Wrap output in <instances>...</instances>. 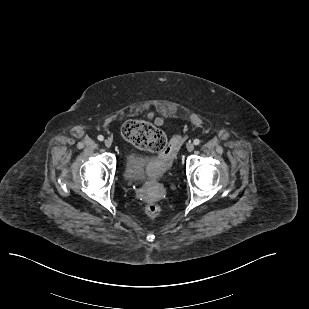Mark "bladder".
I'll return each mask as SVG.
<instances>
[{
	"label": "bladder",
	"instance_id": "obj_1",
	"mask_svg": "<svg viewBox=\"0 0 309 309\" xmlns=\"http://www.w3.org/2000/svg\"><path fill=\"white\" fill-rule=\"evenodd\" d=\"M151 159L135 152H129L125 158L124 177L130 182H145L151 178L148 165Z\"/></svg>",
	"mask_w": 309,
	"mask_h": 309
}]
</instances>
